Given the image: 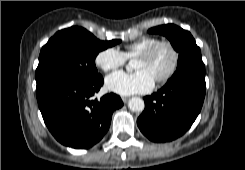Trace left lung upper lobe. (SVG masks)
<instances>
[{
    "label": "left lung upper lobe",
    "instance_id": "5c2ea615",
    "mask_svg": "<svg viewBox=\"0 0 245 170\" xmlns=\"http://www.w3.org/2000/svg\"><path fill=\"white\" fill-rule=\"evenodd\" d=\"M148 32L166 36L173 48L179 52L178 66L171 78L182 74L205 75V65L200 48L196 45L190 32L173 24L154 27Z\"/></svg>",
    "mask_w": 245,
    "mask_h": 170
}]
</instances>
